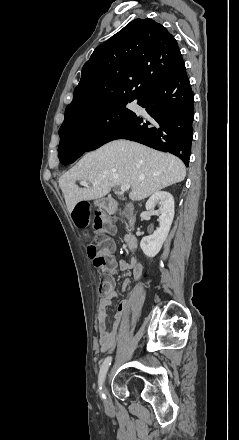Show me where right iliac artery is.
I'll use <instances>...</instances> for the list:
<instances>
[{
  "label": "right iliac artery",
  "instance_id": "1",
  "mask_svg": "<svg viewBox=\"0 0 239 440\" xmlns=\"http://www.w3.org/2000/svg\"><path fill=\"white\" fill-rule=\"evenodd\" d=\"M111 360H112V358L110 356L107 357L104 360V362H103V364L101 366L100 372H99L98 384H99V392H100V395H101L102 399H105V394L102 391V386H103V382H104L106 373L108 371V368H109V366L111 364Z\"/></svg>",
  "mask_w": 239,
  "mask_h": 440
}]
</instances>
